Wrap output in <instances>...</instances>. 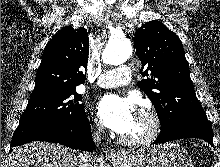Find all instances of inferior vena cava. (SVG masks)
Listing matches in <instances>:
<instances>
[{"instance_id": "inferior-vena-cava-1", "label": "inferior vena cava", "mask_w": 220, "mask_h": 167, "mask_svg": "<svg viewBox=\"0 0 220 167\" xmlns=\"http://www.w3.org/2000/svg\"><path fill=\"white\" fill-rule=\"evenodd\" d=\"M101 127H99L98 131L93 133V140L96 144H100L101 142ZM96 162V158L88 152H80L78 155V167H94Z\"/></svg>"}]
</instances>
